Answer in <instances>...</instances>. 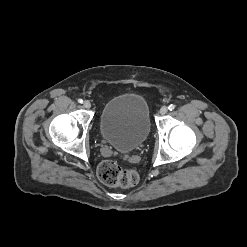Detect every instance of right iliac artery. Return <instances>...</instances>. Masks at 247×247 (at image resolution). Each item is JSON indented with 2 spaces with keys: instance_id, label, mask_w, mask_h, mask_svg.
Here are the masks:
<instances>
[{
  "instance_id": "1",
  "label": "right iliac artery",
  "mask_w": 247,
  "mask_h": 247,
  "mask_svg": "<svg viewBox=\"0 0 247 247\" xmlns=\"http://www.w3.org/2000/svg\"><path fill=\"white\" fill-rule=\"evenodd\" d=\"M78 102L82 104L83 103V100L82 99H78Z\"/></svg>"
}]
</instances>
